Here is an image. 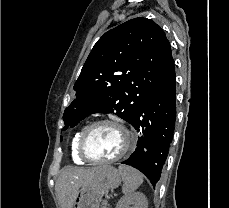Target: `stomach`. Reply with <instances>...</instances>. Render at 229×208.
Listing matches in <instances>:
<instances>
[{
  "label": "stomach",
  "mask_w": 229,
  "mask_h": 208,
  "mask_svg": "<svg viewBox=\"0 0 229 208\" xmlns=\"http://www.w3.org/2000/svg\"><path fill=\"white\" fill-rule=\"evenodd\" d=\"M120 182V172L113 166H104L100 176H97L95 180H92L86 186L79 188L73 208H100L104 192L118 188Z\"/></svg>",
  "instance_id": "obj_1"
}]
</instances>
